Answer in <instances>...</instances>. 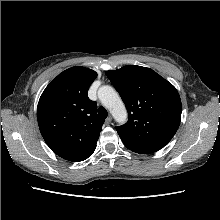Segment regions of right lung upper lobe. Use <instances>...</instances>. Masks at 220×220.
I'll return each mask as SVG.
<instances>
[{
    "instance_id": "1",
    "label": "right lung upper lobe",
    "mask_w": 220,
    "mask_h": 220,
    "mask_svg": "<svg viewBox=\"0 0 220 220\" xmlns=\"http://www.w3.org/2000/svg\"><path fill=\"white\" fill-rule=\"evenodd\" d=\"M97 73L76 66L60 73L42 93L37 119L51 150L63 159L79 162L92 155L104 120L88 89Z\"/></svg>"
}]
</instances>
